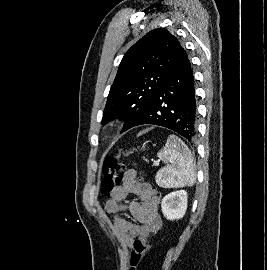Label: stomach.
Returning <instances> with one entry per match:
<instances>
[{"label":"stomach","instance_id":"stomach-1","mask_svg":"<svg viewBox=\"0 0 267 270\" xmlns=\"http://www.w3.org/2000/svg\"><path fill=\"white\" fill-rule=\"evenodd\" d=\"M143 149H145V146L143 145V147H142Z\"/></svg>","mask_w":267,"mask_h":270}]
</instances>
